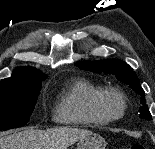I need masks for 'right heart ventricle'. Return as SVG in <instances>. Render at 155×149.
Masks as SVG:
<instances>
[{
  "label": "right heart ventricle",
  "instance_id": "e07e8e85",
  "mask_svg": "<svg viewBox=\"0 0 155 149\" xmlns=\"http://www.w3.org/2000/svg\"><path fill=\"white\" fill-rule=\"evenodd\" d=\"M101 89L85 79L73 80L60 95L54 111V120L61 124L78 126H106L111 121L96 107Z\"/></svg>",
  "mask_w": 155,
  "mask_h": 149
}]
</instances>
